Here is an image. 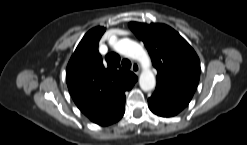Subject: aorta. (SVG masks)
<instances>
[{
  "label": "aorta",
  "instance_id": "obj_1",
  "mask_svg": "<svg viewBox=\"0 0 247 145\" xmlns=\"http://www.w3.org/2000/svg\"><path fill=\"white\" fill-rule=\"evenodd\" d=\"M114 49L129 58L138 60L142 66L143 71L139 78V85L145 92L151 91L155 88L156 80L153 72L149 69L150 58L143 47L135 41L130 39H121L113 44Z\"/></svg>",
  "mask_w": 247,
  "mask_h": 145
}]
</instances>
